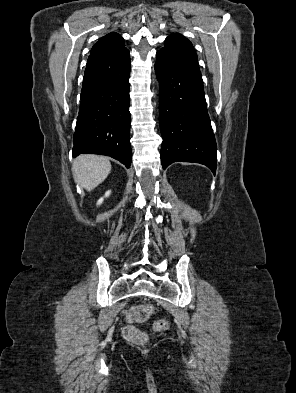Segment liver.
I'll list each match as a JSON object with an SVG mask.
<instances>
[{
    "mask_svg": "<svg viewBox=\"0 0 296 393\" xmlns=\"http://www.w3.org/2000/svg\"><path fill=\"white\" fill-rule=\"evenodd\" d=\"M110 171V161L98 155H80L72 164L75 182L87 191L93 190L102 183Z\"/></svg>",
    "mask_w": 296,
    "mask_h": 393,
    "instance_id": "obj_1",
    "label": "liver"
}]
</instances>
